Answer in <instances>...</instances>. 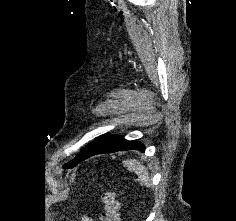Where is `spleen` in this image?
<instances>
[{
	"mask_svg": "<svg viewBox=\"0 0 236 221\" xmlns=\"http://www.w3.org/2000/svg\"><path fill=\"white\" fill-rule=\"evenodd\" d=\"M123 164L124 166L127 167L129 171L135 172L145 186L147 187L151 186L148 170L140 162L131 159V160H125Z\"/></svg>",
	"mask_w": 236,
	"mask_h": 221,
	"instance_id": "spleen-1",
	"label": "spleen"
}]
</instances>
